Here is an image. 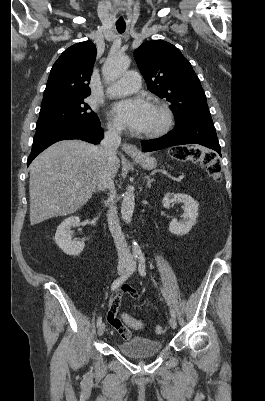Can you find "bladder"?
Here are the masks:
<instances>
[{"instance_id":"bladder-1","label":"bladder","mask_w":265,"mask_h":401,"mask_svg":"<svg viewBox=\"0 0 265 401\" xmlns=\"http://www.w3.org/2000/svg\"><path fill=\"white\" fill-rule=\"evenodd\" d=\"M118 351L133 357H148L163 349V341L136 337L124 343H115Z\"/></svg>"}]
</instances>
